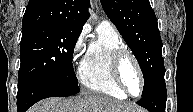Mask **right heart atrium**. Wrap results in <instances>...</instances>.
Here are the masks:
<instances>
[{"label":"right heart atrium","mask_w":193,"mask_h":112,"mask_svg":"<svg viewBox=\"0 0 193 112\" xmlns=\"http://www.w3.org/2000/svg\"><path fill=\"white\" fill-rule=\"evenodd\" d=\"M87 34H88L87 29L83 28L75 38L74 43L72 45L71 62L74 67L78 63H80L81 58L85 52Z\"/></svg>","instance_id":"right-heart-atrium-1"}]
</instances>
